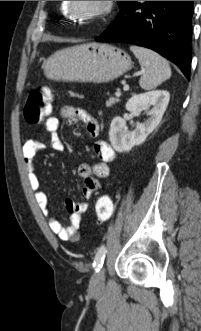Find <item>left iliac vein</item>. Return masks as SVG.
I'll return each mask as SVG.
<instances>
[{"mask_svg": "<svg viewBox=\"0 0 201 331\" xmlns=\"http://www.w3.org/2000/svg\"><path fill=\"white\" fill-rule=\"evenodd\" d=\"M105 285V268L101 267L100 270L93 275L90 281V289L92 291H99Z\"/></svg>", "mask_w": 201, "mask_h": 331, "instance_id": "left-iliac-vein-1", "label": "left iliac vein"}]
</instances>
